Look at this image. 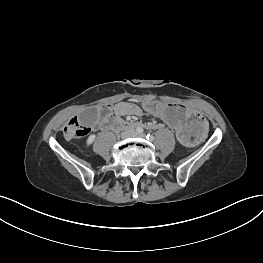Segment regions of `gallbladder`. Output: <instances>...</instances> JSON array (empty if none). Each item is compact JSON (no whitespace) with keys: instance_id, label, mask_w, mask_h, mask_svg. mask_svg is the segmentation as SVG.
Segmentation results:
<instances>
[{"instance_id":"bac80fb5","label":"gallbladder","mask_w":263,"mask_h":263,"mask_svg":"<svg viewBox=\"0 0 263 263\" xmlns=\"http://www.w3.org/2000/svg\"><path fill=\"white\" fill-rule=\"evenodd\" d=\"M81 120L85 125H94L98 120V110L88 108L81 113Z\"/></svg>"}]
</instances>
